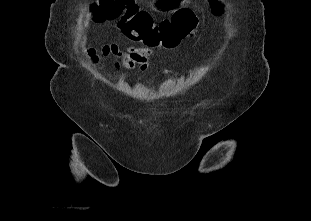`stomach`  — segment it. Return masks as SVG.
I'll use <instances>...</instances> for the list:
<instances>
[{
	"instance_id": "obj_1",
	"label": "stomach",
	"mask_w": 311,
	"mask_h": 221,
	"mask_svg": "<svg viewBox=\"0 0 311 221\" xmlns=\"http://www.w3.org/2000/svg\"><path fill=\"white\" fill-rule=\"evenodd\" d=\"M155 10H175L183 4L184 0H152Z\"/></svg>"
}]
</instances>
